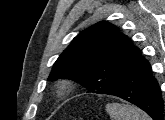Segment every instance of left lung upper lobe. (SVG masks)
<instances>
[{
    "label": "left lung upper lobe",
    "mask_w": 165,
    "mask_h": 120,
    "mask_svg": "<svg viewBox=\"0 0 165 120\" xmlns=\"http://www.w3.org/2000/svg\"><path fill=\"white\" fill-rule=\"evenodd\" d=\"M138 48L102 21L80 32L54 63L49 81L68 78L88 92L109 94L122 82Z\"/></svg>",
    "instance_id": "1"
}]
</instances>
